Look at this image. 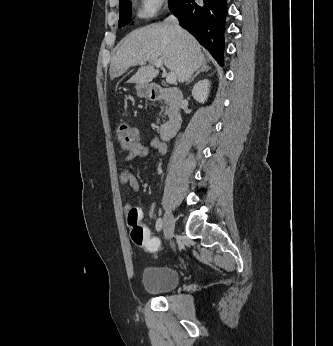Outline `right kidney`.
Here are the masks:
<instances>
[{"mask_svg": "<svg viewBox=\"0 0 333 346\" xmlns=\"http://www.w3.org/2000/svg\"><path fill=\"white\" fill-rule=\"evenodd\" d=\"M209 87V80L204 79L198 81L192 89L193 98L199 103H204L207 100L209 94Z\"/></svg>", "mask_w": 333, "mask_h": 346, "instance_id": "right-kidney-1", "label": "right kidney"}]
</instances>
